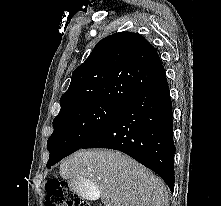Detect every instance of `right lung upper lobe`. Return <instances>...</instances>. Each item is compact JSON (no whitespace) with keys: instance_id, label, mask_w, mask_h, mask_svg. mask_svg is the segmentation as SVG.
<instances>
[{"instance_id":"obj_1","label":"right lung upper lobe","mask_w":221,"mask_h":206,"mask_svg":"<svg viewBox=\"0 0 221 206\" xmlns=\"http://www.w3.org/2000/svg\"><path fill=\"white\" fill-rule=\"evenodd\" d=\"M165 76L156 49L144 37L115 33L102 39L74 70L60 112L94 103L125 106Z\"/></svg>"}]
</instances>
